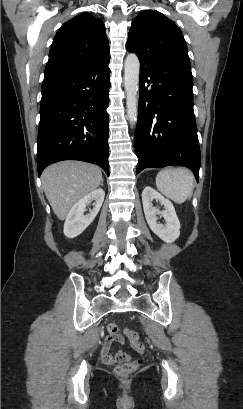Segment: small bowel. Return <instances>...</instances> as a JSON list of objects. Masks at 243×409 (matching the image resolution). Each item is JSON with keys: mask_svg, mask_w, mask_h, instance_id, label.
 Masks as SVG:
<instances>
[{"mask_svg": "<svg viewBox=\"0 0 243 409\" xmlns=\"http://www.w3.org/2000/svg\"><path fill=\"white\" fill-rule=\"evenodd\" d=\"M123 344L124 340L117 334L110 333L104 340L103 345L100 349V358L103 364L113 365L118 362H123L129 359L127 353L118 350L115 353H112V347L114 344Z\"/></svg>", "mask_w": 243, "mask_h": 409, "instance_id": "small-bowel-1", "label": "small bowel"}]
</instances>
